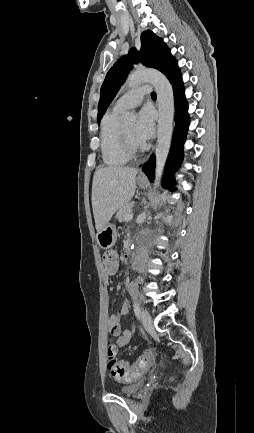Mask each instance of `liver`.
Returning <instances> with one entry per match:
<instances>
[{
	"label": "liver",
	"instance_id": "6515ba94",
	"mask_svg": "<svg viewBox=\"0 0 254 433\" xmlns=\"http://www.w3.org/2000/svg\"><path fill=\"white\" fill-rule=\"evenodd\" d=\"M138 170L131 167H100L93 176L92 208L97 232L126 205L136 189Z\"/></svg>",
	"mask_w": 254,
	"mask_h": 433
}]
</instances>
